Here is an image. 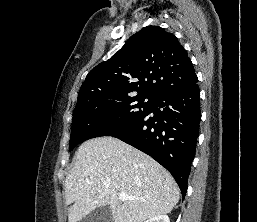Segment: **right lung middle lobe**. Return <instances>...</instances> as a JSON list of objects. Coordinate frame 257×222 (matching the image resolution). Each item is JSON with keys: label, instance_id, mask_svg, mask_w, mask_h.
Returning a JSON list of instances; mask_svg holds the SVG:
<instances>
[{"label": "right lung middle lobe", "instance_id": "obj_1", "mask_svg": "<svg viewBox=\"0 0 257 222\" xmlns=\"http://www.w3.org/2000/svg\"><path fill=\"white\" fill-rule=\"evenodd\" d=\"M146 95L92 97L78 103L73 114L69 151L87 139L113 136L137 123L153 108Z\"/></svg>", "mask_w": 257, "mask_h": 222}]
</instances>
